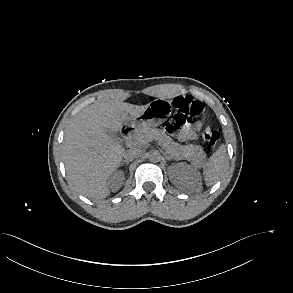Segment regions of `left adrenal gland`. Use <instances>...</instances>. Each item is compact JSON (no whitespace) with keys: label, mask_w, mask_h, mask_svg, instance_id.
Here are the masks:
<instances>
[{"label":"left adrenal gland","mask_w":293,"mask_h":293,"mask_svg":"<svg viewBox=\"0 0 293 293\" xmlns=\"http://www.w3.org/2000/svg\"><path fill=\"white\" fill-rule=\"evenodd\" d=\"M168 161L173 160L170 156H167Z\"/></svg>","instance_id":"1"}]
</instances>
